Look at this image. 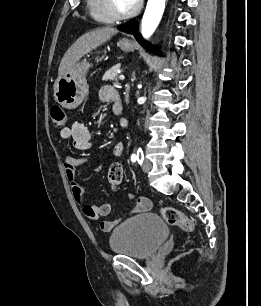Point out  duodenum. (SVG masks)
I'll use <instances>...</instances> for the list:
<instances>
[{
	"mask_svg": "<svg viewBox=\"0 0 261 306\" xmlns=\"http://www.w3.org/2000/svg\"><path fill=\"white\" fill-rule=\"evenodd\" d=\"M114 111L116 114H119L120 113V108L119 107H114Z\"/></svg>",
	"mask_w": 261,
	"mask_h": 306,
	"instance_id": "410a0bca",
	"label": "duodenum"
}]
</instances>
